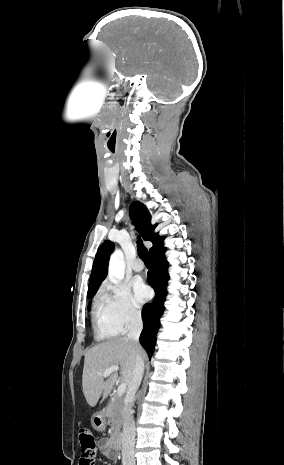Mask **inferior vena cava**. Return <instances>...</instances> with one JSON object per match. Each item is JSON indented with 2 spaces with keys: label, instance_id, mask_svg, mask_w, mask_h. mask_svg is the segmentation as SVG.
<instances>
[{
  "label": "inferior vena cava",
  "instance_id": "1",
  "mask_svg": "<svg viewBox=\"0 0 284 465\" xmlns=\"http://www.w3.org/2000/svg\"><path fill=\"white\" fill-rule=\"evenodd\" d=\"M127 341L139 343L140 333L143 329L141 315L131 313L129 325H127ZM144 373V361L140 355H136L133 377L128 385L124 405H123V431H122V465H135L134 447H135V423L133 419L132 407L134 405L135 395L140 387Z\"/></svg>",
  "mask_w": 284,
  "mask_h": 465
}]
</instances>
